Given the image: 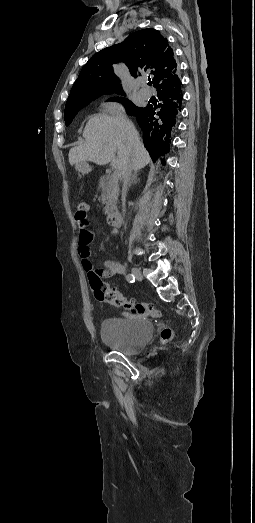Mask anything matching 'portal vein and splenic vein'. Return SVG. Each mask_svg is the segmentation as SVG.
Here are the masks:
<instances>
[{
	"label": "portal vein and splenic vein",
	"instance_id": "obj_1",
	"mask_svg": "<svg viewBox=\"0 0 255 523\" xmlns=\"http://www.w3.org/2000/svg\"><path fill=\"white\" fill-rule=\"evenodd\" d=\"M110 173H111L112 175H116V174L118 173L117 167H116L115 165H112V166L110 167Z\"/></svg>",
	"mask_w": 255,
	"mask_h": 523
}]
</instances>
